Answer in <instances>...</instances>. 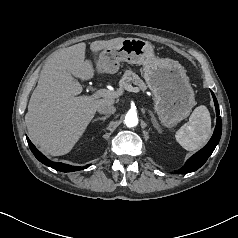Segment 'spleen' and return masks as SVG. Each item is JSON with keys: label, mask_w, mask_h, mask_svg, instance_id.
Masks as SVG:
<instances>
[{"label": "spleen", "mask_w": 238, "mask_h": 238, "mask_svg": "<svg viewBox=\"0 0 238 238\" xmlns=\"http://www.w3.org/2000/svg\"><path fill=\"white\" fill-rule=\"evenodd\" d=\"M211 117L206 106L194 109L189 118L175 134L177 142L188 151L202 148L211 136Z\"/></svg>", "instance_id": "1"}]
</instances>
